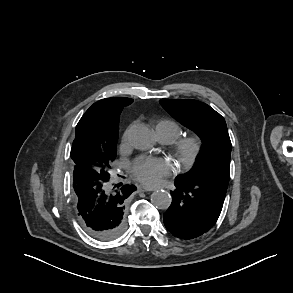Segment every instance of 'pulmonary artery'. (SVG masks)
Returning <instances> with one entry per match:
<instances>
[{
  "label": "pulmonary artery",
  "instance_id": "obj_1",
  "mask_svg": "<svg viewBox=\"0 0 293 293\" xmlns=\"http://www.w3.org/2000/svg\"><path fill=\"white\" fill-rule=\"evenodd\" d=\"M158 137H159L160 141L162 143H164V144L171 143L170 140L167 137L163 136V135H158Z\"/></svg>",
  "mask_w": 293,
  "mask_h": 293
}]
</instances>
